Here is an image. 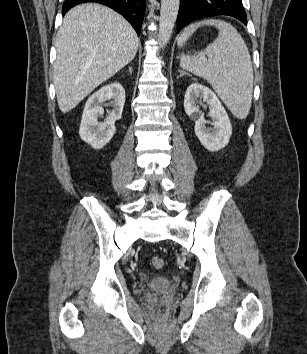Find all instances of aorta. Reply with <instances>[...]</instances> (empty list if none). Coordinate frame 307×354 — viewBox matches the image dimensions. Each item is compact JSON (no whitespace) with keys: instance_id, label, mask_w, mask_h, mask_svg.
<instances>
[{"instance_id":"obj_1","label":"aorta","mask_w":307,"mask_h":354,"mask_svg":"<svg viewBox=\"0 0 307 354\" xmlns=\"http://www.w3.org/2000/svg\"><path fill=\"white\" fill-rule=\"evenodd\" d=\"M180 0H161L158 39L165 47L170 40L177 19Z\"/></svg>"}]
</instances>
